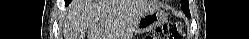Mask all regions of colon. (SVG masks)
Segmentation results:
<instances>
[{
  "instance_id": "5ec220e1",
  "label": "colon",
  "mask_w": 249,
  "mask_h": 39,
  "mask_svg": "<svg viewBox=\"0 0 249 39\" xmlns=\"http://www.w3.org/2000/svg\"><path fill=\"white\" fill-rule=\"evenodd\" d=\"M183 37L181 22H172L158 26L153 34L147 35L145 39H183Z\"/></svg>"
}]
</instances>
